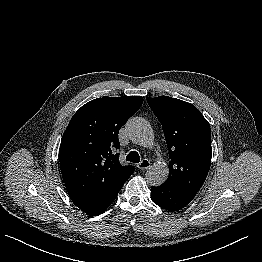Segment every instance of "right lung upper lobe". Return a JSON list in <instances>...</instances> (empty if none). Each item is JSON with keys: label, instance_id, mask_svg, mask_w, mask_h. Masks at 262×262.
I'll return each mask as SVG.
<instances>
[{"label": "right lung upper lobe", "instance_id": "1", "mask_svg": "<svg viewBox=\"0 0 262 262\" xmlns=\"http://www.w3.org/2000/svg\"><path fill=\"white\" fill-rule=\"evenodd\" d=\"M143 97L122 96L94 99L70 120L59 148L60 169L75 205H103L114 197L134 172L122 166L118 133L141 107Z\"/></svg>", "mask_w": 262, "mask_h": 262}]
</instances>
